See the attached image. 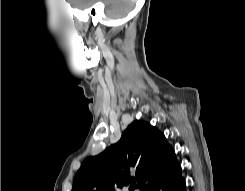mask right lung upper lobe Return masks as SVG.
Segmentation results:
<instances>
[{
  "label": "right lung upper lobe",
  "mask_w": 245,
  "mask_h": 191,
  "mask_svg": "<svg viewBox=\"0 0 245 191\" xmlns=\"http://www.w3.org/2000/svg\"><path fill=\"white\" fill-rule=\"evenodd\" d=\"M178 165L165 136L149 123L137 120L127 127L118 143L84 160L72 191H116L135 181L140 191H149Z\"/></svg>",
  "instance_id": "1"
}]
</instances>
